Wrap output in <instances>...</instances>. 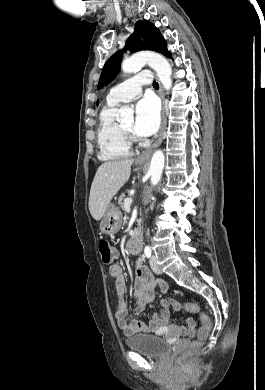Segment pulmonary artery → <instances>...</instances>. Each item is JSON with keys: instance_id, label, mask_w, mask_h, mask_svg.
<instances>
[{"instance_id": "1", "label": "pulmonary artery", "mask_w": 265, "mask_h": 390, "mask_svg": "<svg viewBox=\"0 0 265 390\" xmlns=\"http://www.w3.org/2000/svg\"><path fill=\"white\" fill-rule=\"evenodd\" d=\"M151 81L150 72L143 71L114 86L107 96V101L116 104L132 101L141 95L142 86L149 85Z\"/></svg>"}]
</instances>
